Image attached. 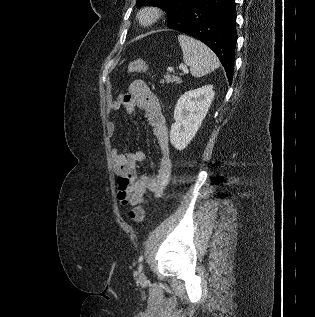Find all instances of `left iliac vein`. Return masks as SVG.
<instances>
[{
    "mask_svg": "<svg viewBox=\"0 0 315 317\" xmlns=\"http://www.w3.org/2000/svg\"><path fill=\"white\" fill-rule=\"evenodd\" d=\"M139 278L142 280V279H145V275H144V273L143 272H141L140 274H139Z\"/></svg>",
    "mask_w": 315,
    "mask_h": 317,
    "instance_id": "left-iliac-vein-1",
    "label": "left iliac vein"
}]
</instances>
